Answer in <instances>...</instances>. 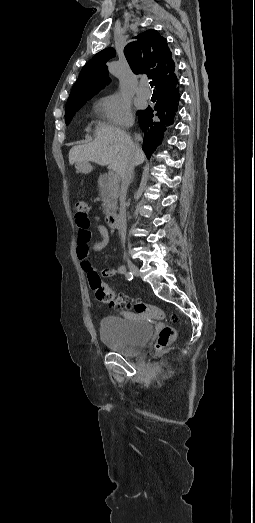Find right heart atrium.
Here are the masks:
<instances>
[{"label": "right heart atrium", "mask_w": 255, "mask_h": 523, "mask_svg": "<svg viewBox=\"0 0 255 523\" xmlns=\"http://www.w3.org/2000/svg\"><path fill=\"white\" fill-rule=\"evenodd\" d=\"M99 106L108 121V127H128L133 122L130 105L119 96L101 98Z\"/></svg>", "instance_id": "obj_1"}]
</instances>
